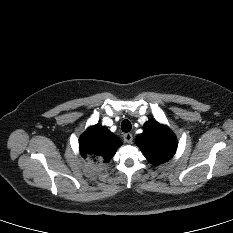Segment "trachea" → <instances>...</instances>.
Returning <instances> with one entry per match:
<instances>
[{"label": "trachea", "instance_id": "trachea-1", "mask_svg": "<svg viewBox=\"0 0 233 233\" xmlns=\"http://www.w3.org/2000/svg\"><path fill=\"white\" fill-rule=\"evenodd\" d=\"M131 128H132V126H131V123H130L129 120L125 119V120L122 121L121 129H122L123 132H126V133L130 132Z\"/></svg>", "mask_w": 233, "mask_h": 233}]
</instances>
